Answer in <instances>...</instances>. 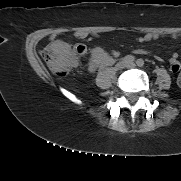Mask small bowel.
Returning a JSON list of instances; mask_svg holds the SVG:
<instances>
[{
  "label": "small bowel",
  "mask_w": 181,
  "mask_h": 181,
  "mask_svg": "<svg viewBox=\"0 0 181 181\" xmlns=\"http://www.w3.org/2000/svg\"><path fill=\"white\" fill-rule=\"evenodd\" d=\"M87 36H88V34L84 33V32L76 33V37L81 38V39H84ZM180 36H181V34H179V33L171 34V37L174 38V39H176V38H178ZM160 37H163V35L159 34V33H148V34H144L142 36H139L137 38V41L140 42V43H146V42H149V41H152V40H157ZM50 39H51V44L53 46H55V47H59V48H69L70 47L66 42H64L62 40H59V39H56L55 36H52ZM135 53L139 54V55H142V54H147L148 51L144 50V49H137V50H135ZM112 55L113 56H117L118 52L117 51H113ZM158 59H160V58H158ZM169 63H170V70L173 73H177L178 71L181 70V63L178 60V54L177 53H174L171 56V58L169 60ZM90 69L94 70L95 66L93 64H91L90 65Z\"/></svg>",
  "instance_id": "1"
}]
</instances>
